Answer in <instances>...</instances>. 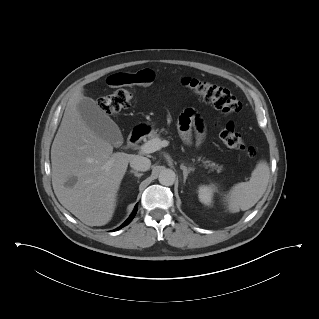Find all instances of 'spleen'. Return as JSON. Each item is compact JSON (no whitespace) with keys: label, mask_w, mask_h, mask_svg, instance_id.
<instances>
[{"label":"spleen","mask_w":319,"mask_h":319,"mask_svg":"<svg viewBox=\"0 0 319 319\" xmlns=\"http://www.w3.org/2000/svg\"><path fill=\"white\" fill-rule=\"evenodd\" d=\"M270 177L266 161H260L252 171L248 182H241L232 187L228 196V209L232 213L246 211L253 207L266 191Z\"/></svg>","instance_id":"1"}]
</instances>
